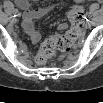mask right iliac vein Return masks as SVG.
<instances>
[{
  "mask_svg": "<svg viewBox=\"0 0 103 103\" xmlns=\"http://www.w3.org/2000/svg\"><path fill=\"white\" fill-rule=\"evenodd\" d=\"M16 19L15 18H11V23H15Z\"/></svg>",
  "mask_w": 103,
  "mask_h": 103,
  "instance_id": "obj_1",
  "label": "right iliac vein"
}]
</instances>
